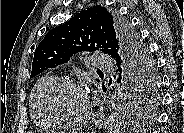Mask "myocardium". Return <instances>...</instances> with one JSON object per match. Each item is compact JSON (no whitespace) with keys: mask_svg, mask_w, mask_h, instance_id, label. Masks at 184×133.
Masks as SVG:
<instances>
[{"mask_svg":"<svg viewBox=\"0 0 184 133\" xmlns=\"http://www.w3.org/2000/svg\"><path fill=\"white\" fill-rule=\"evenodd\" d=\"M67 88H75V89L82 90L87 95V98H88L87 110L85 114L80 118L68 119L59 115V113L56 110V106H55L56 97L62 90ZM45 108L49 116L55 122V124H61V125L70 126V127L83 125L90 119L92 114V107L86 90L83 88V86L80 83L74 80H59L56 84H54L46 94Z\"/></svg>","mask_w":184,"mask_h":133,"instance_id":"f54148a6","label":"myocardium"}]
</instances>
